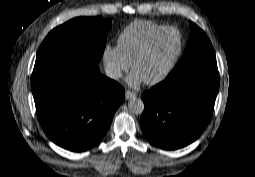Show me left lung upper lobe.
<instances>
[{
  "label": "left lung upper lobe",
  "instance_id": "1",
  "mask_svg": "<svg viewBox=\"0 0 255 177\" xmlns=\"http://www.w3.org/2000/svg\"><path fill=\"white\" fill-rule=\"evenodd\" d=\"M190 28L191 34L183 57L167 78L197 65L216 64L213 46L206 34L191 21Z\"/></svg>",
  "mask_w": 255,
  "mask_h": 177
}]
</instances>
